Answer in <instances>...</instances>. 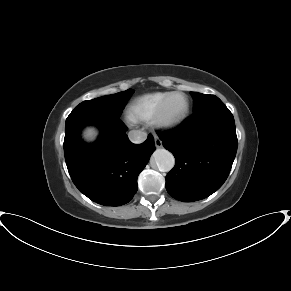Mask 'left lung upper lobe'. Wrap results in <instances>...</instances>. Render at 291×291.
<instances>
[{"instance_id":"obj_1","label":"left lung upper lobe","mask_w":291,"mask_h":291,"mask_svg":"<svg viewBox=\"0 0 291 291\" xmlns=\"http://www.w3.org/2000/svg\"><path fill=\"white\" fill-rule=\"evenodd\" d=\"M194 100V114L200 113L213 105L222 103L215 95H206L197 92H190Z\"/></svg>"}]
</instances>
